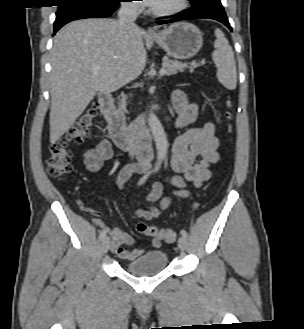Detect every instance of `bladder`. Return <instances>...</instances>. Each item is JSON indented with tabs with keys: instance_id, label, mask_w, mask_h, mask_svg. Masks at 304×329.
<instances>
[{
	"instance_id": "1",
	"label": "bladder",
	"mask_w": 304,
	"mask_h": 329,
	"mask_svg": "<svg viewBox=\"0 0 304 329\" xmlns=\"http://www.w3.org/2000/svg\"><path fill=\"white\" fill-rule=\"evenodd\" d=\"M168 266V256L163 250L144 252L128 261L125 271L134 276H152L160 273Z\"/></svg>"
}]
</instances>
